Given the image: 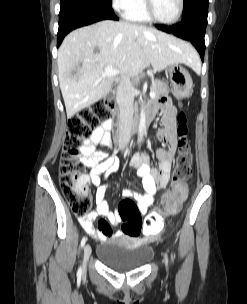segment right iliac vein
<instances>
[{
  "label": "right iliac vein",
  "instance_id": "1",
  "mask_svg": "<svg viewBox=\"0 0 247 304\" xmlns=\"http://www.w3.org/2000/svg\"><path fill=\"white\" fill-rule=\"evenodd\" d=\"M91 252H92V250H91L90 245H89V244H86V245L84 246V263H83V269L86 268L87 262H88V260H89L90 255H91Z\"/></svg>",
  "mask_w": 247,
  "mask_h": 304
}]
</instances>
